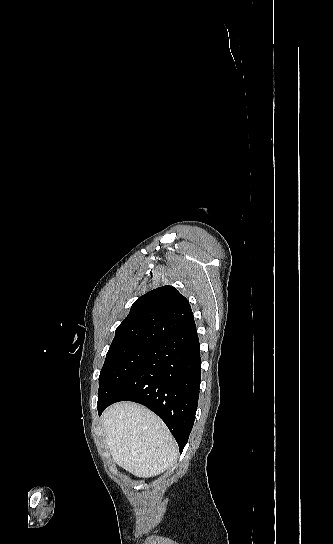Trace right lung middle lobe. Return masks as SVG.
<instances>
[{
    "mask_svg": "<svg viewBox=\"0 0 333 544\" xmlns=\"http://www.w3.org/2000/svg\"><path fill=\"white\" fill-rule=\"evenodd\" d=\"M152 345L110 349L99 376L98 407L112 399L146 360Z\"/></svg>",
    "mask_w": 333,
    "mask_h": 544,
    "instance_id": "right-lung-middle-lobe-1",
    "label": "right lung middle lobe"
}]
</instances>
